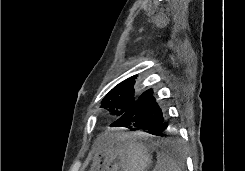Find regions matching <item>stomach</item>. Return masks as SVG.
I'll return each mask as SVG.
<instances>
[{
	"instance_id": "stomach-1",
	"label": "stomach",
	"mask_w": 245,
	"mask_h": 171,
	"mask_svg": "<svg viewBox=\"0 0 245 171\" xmlns=\"http://www.w3.org/2000/svg\"><path fill=\"white\" fill-rule=\"evenodd\" d=\"M152 147L137 133L114 132L104 136L89 171H147Z\"/></svg>"
}]
</instances>
